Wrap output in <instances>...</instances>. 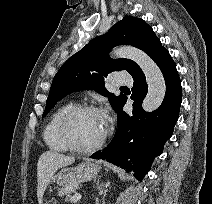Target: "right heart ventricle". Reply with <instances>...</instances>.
<instances>
[{"label":"right heart ventricle","instance_id":"e07e8e85","mask_svg":"<svg viewBox=\"0 0 212 204\" xmlns=\"http://www.w3.org/2000/svg\"><path fill=\"white\" fill-rule=\"evenodd\" d=\"M72 106H74L73 103L68 102L57 108L44 128L43 139L52 151L66 152L69 150L60 138L58 124L62 115Z\"/></svg>","mask_w":212,"mask_h":204}]
</instances>
